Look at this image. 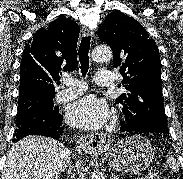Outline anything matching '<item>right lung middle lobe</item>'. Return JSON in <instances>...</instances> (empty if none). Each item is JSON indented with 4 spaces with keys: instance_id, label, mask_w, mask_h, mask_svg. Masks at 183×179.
I'll return each instance as SVG.
<instances>
[{
    "instance_id": "right-lung-middle-lobe-1",
    "label": "right lung middle lobe",
    "mask_w": 183,
    "mask_h": 179,
    "mask_svg": "<svg viewBox=\"0 0 183 179\" xmlns=\"http://www.w3.org/2000/svg\"><path fill=\"white\" fill-rule=\"evenodd\" d=\"M55 94H32L18 99L16 126H20L30 118H51L59 114L54 107Z\"/></svg>"
}]
</instances>
